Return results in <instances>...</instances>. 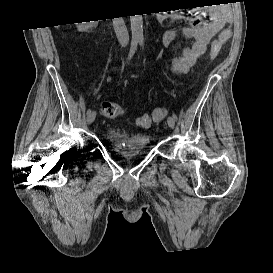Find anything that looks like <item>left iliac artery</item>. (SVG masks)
<instances>
[{"label": "left iliac artery", "instance_id": "left-iliac-artery-1", "mask_svg": "<svg viewBox=\"0 0 273 273\" xmlns=\"http://www.w3.org/2000/svg\"><path fill=\"white\" fill-rule=\"evenodd\" d=\"M140 45L143 46V42H140ZM172 117L174 118L175 121L177 120L176 114H173Z\"/></svg>", "mask_w": 273, "mask_h": 273}]
</instances>
